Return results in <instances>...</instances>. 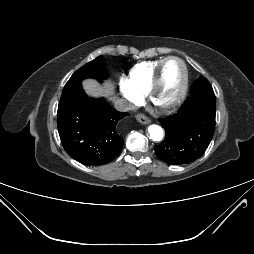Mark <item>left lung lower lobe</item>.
Wrapping results in <instances>:
<instances>
[{
  "label": "left lung lower lobe",
  "instance_id": "0a47b994",
  "mask_svg": "<svg viewBox=\"0 0 254 254\" xmlns=\"http://www.w3.org/2000/svg\"><path fill=\"white\" fill-rule=\"evenodd\" d=\"M215 115L216 99L188 98L176 114L159 119L166 138L155 146L157 156L173 165L200 158L212 140Z\"/></svg>",
  "mask_w": 254,
  "mask_h": 254
}]
</instances>
